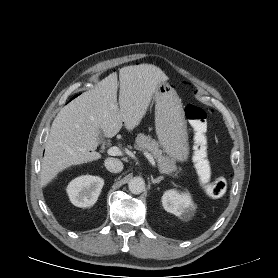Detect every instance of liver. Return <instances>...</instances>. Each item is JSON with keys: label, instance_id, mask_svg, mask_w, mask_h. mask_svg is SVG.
Returning <instances> with one entry per match:
<instances>
[{"label": "liver", "instance_id": "liver-1", "mask_svg": "<svg viewBox=\"0 0 278 278\" xmlns=\"http://www.w3.org/2000/svg\"><path fill=\"white\" fill-rule=\"evenodd\" d=\"M119 81L120 107L117 74L112 73L59 111L45 145L40 172L42 186L71 166L101 159L95 152L99 134L112 138L122 126L128 131L138 126L155 90L167 81V76L156 66L135 65L121 68Z\"/></svg>", "mask_w": 278, "mask_h": 278}]
</instances>
